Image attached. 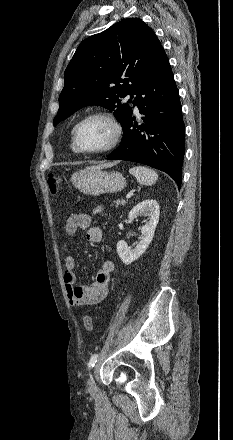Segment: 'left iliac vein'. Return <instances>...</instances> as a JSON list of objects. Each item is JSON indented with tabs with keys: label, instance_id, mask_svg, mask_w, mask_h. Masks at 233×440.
<instances>
[{
	"label": "left iliac vein",
	"instance_id": "4c4485c4",
	"mask_svg": "<svg viewBox=\"0 0 233 440\" xmlns=\"http://www.w3.org/2000/svg\"><path fill=\"white\" fill-rule=\"evenodd\" d=\"M87 387H88L89 391H91V392L95 391L96 385H95V381H94L91 374L89 375L88 380H87Z\"/></svg>",
	"mask_w": 233,
	"mask_h": 440
}]
</instances>
